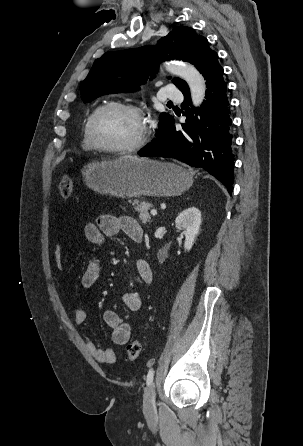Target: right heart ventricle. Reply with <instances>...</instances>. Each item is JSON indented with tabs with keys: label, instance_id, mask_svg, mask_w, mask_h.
<instances>
[{
	"label": "right heart ventricle",
	"instance_id": "obj_1",
	"mask_svg": "<svg viewBox=\"0 0 303 446\" xmlns=\"http://www.w3.org/2000/svg\"><path fill=\"white\" fill-rule=\"evenodd\" d=\"M86 123H87V121H86ZM86 123L83 128L81 145H82L83 149H85V150H93L94 148L90 145V143L88 142L87 136H86Z\"/></svg>",
	"mask_w": 303,
	"mask_h": 446
}]
</instances>
